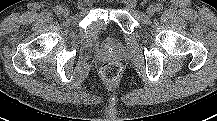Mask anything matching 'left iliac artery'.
<instances>
[{"label": "left iliac artery", "mask_w": 217, "mask_h": 121, "mask_svg": "<svg viewBox=\"0 0 217 121\" xmlns=\"http://www.w3.org/2000/svg\"><path fill=\"white\" fill-rule=\"evenodd\" d=\"M163 9V6L161 4L156 5V11L160 12Z\"/></svg>", "instance_id": "obj_1"}]
</instances>
